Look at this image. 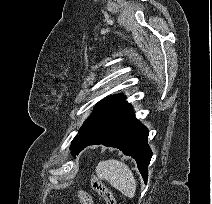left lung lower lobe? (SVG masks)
I'll return each mask as SVG.
<instances>
[{
    "label": "left lung lower lobe",
    "instance_id": "1",
    "mask_svg": "<svg viewBox=\"0 0 212 204\" xmlns=\"http://www.w3.org/2000/svg\"><path fill=\"white\" fill-rule=\"evenodd\" d=\"M147 137V128L135 118L131 105L124 100L76 137L71 154L76 156L82 149L94 144L118 148L135 159L144 181L147 182V168L152 157Z\"/></svg>",
    "mask_w": 212,
    "mask_h": 204
}]
</instances>
